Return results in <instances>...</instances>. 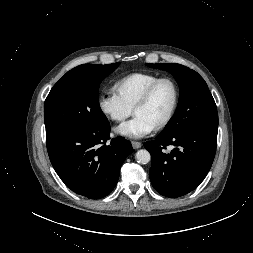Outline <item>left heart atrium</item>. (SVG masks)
I'll list each match as a JSON object with an SVG mask.
<instances>
[{"instance_id":"39dd6f15","label":"left heart atrium","mask_w":253,"mask_h":253,"mask_svg":"<svg viewBox=\"0 0 253 253\" xmlns=\"http://www.w3.org/2000/svg\"><path fill=\"white\" fill-rule=\"evenodd\" d=\"M153 130L154 126L139 115L115 128L116 133L130 138H142Z\"/></svg>"}]
</instances>
